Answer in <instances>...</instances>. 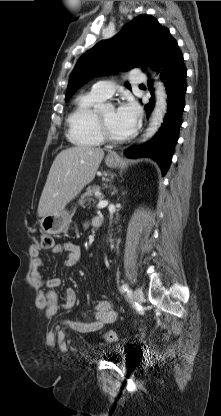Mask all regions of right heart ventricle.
<instances>
[{"mask_svg": "<svg viewBox=\"0 0 221 416\" xmlns=\"http://www.w3.org/2000/svg\"><path fill=\"white\" fill-rule=\"evenodd\" d=\"M104 100L95 92L81 93L68 116V138L80 146H99L104 140L97 124V106Z\"/></svg>", "mask_w": 221, "mask_h": 416, "instance_id": "1", "label": "right heart ventricle"}]
</instances>
